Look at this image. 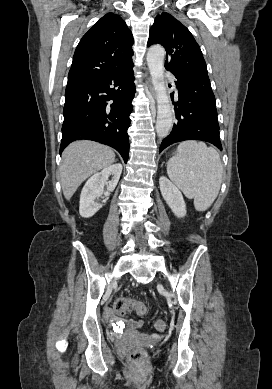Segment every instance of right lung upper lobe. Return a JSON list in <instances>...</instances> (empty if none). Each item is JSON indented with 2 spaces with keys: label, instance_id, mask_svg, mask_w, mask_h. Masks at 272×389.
<instances>
[{
  "label": "right lung upper lobe",
  "instance_id": "right-lung-upper-lobe-1",
  "mask_svg": "<svg viewBox=\"0 0 272 389\" xmlns=\"http://www.w3.org/2000/svg\"><path fill=\"white\" fill-rule=\"evenodd\" d=\"M133 42L123 19L107 13L80 40L68 80L96 76L131 61Z\"/></svg>",
  "mask_w": 272,
  "mask_h": 389
}]
</instances>
